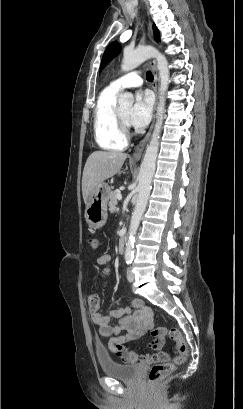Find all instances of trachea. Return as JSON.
Masks as SVG:
<instances>
[{
	"label": "trachea",
	"mask_w": 243,
	"mask_h": 409,
	"mask_svg": "<svg viewBox=\"0 0 243 409\" xmlns=\"http://www.w3.org/2000/svg\"><path fill=\"white\" fill-rule=\"evenodd\" d=\"M146 78L148 81H152L154 79V76L152 75L150 71H147Z\"/></svg>",
	"instance_id": "1"
}]
</instances>
